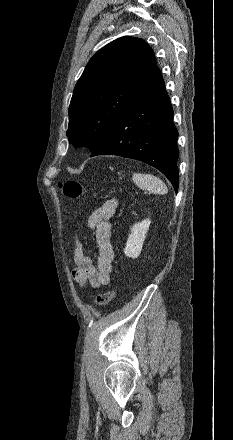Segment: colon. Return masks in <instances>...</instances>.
<instances>
[{"instance_id":"1","label":"colon","mask_w":233,"mask_h":440,"mask_svg":"<svg viewBox=\"0 0 233 440\" xmlns=\"http://www.w3.org/2000/svg\"><path fill=\"white\" fill-rule=\"evenodd\" d=\"M59 188L65 197L76 199L82 196L85 192L84 185L78 180H66L59 183ZM117 290L112 288L104 293L99 294L95 299V304L98 307H103L108 304L115 296Z\"/></svg>"}]
</instances>
